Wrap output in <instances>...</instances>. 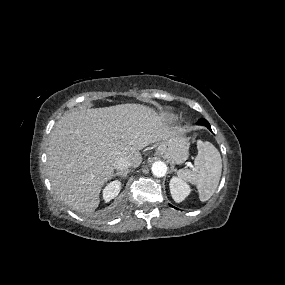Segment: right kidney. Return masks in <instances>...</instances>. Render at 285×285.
Wrapping results in <instances>:
<instances>
[{
	"mask_svg": "<svg viewBox=\"0 0 285 285\" xmlns=\"http://www.w3.org/2000/svg\"><path fill=\"white\" fill-rule=\"evenodd\" d=\"M121 189V182L116 180L109 183L104 189H103V199L105 202H109L111 199L115 198Z\"/></svg>",
	"mask_w": 285,
	"mask_h": 285,
	"instance_id": "obj_1",
	"label": "right kidney"
}]
</instances>
